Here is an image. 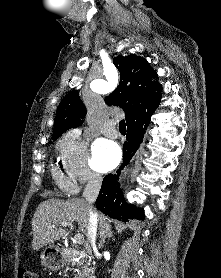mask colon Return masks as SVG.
Wrapping results in <instances>:
<instances>
[{"mask_svg": "<svg viewBox=\"0 0 221 278\" xmlns=\"http://www.w3.org/2000/svg\"><path fill=\"white\" fill-rule=\"evenodd\" d=\"M18 278H38V276L34 271L22 268L18 272Z\"/></svg>", "mask_w": 221, "mask_h": 278, "instance_id": "5ec220e1", "label": "colon"}]
</instances>
